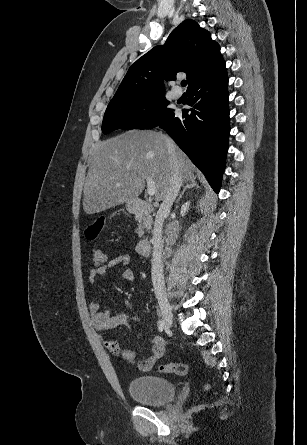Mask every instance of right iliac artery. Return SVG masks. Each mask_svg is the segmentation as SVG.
<instances>
[{
    "label": "right iliac artery",
    "instance_id": "right-iliac-artery-1",
    "mask_svg": "<svg viewBox=\"0 0 307 445\" xmlns=\"http://www.w3.org/2000/svg\"><path fill=\"white\" fill-rule=\"evenodd\" d=\"M164 327H165L164 321L163 320H159L158 321V330L159 331H163Z\"/></svg>",
    "mask_w": 307,
    "mask_h": 445
}]
</instances>
